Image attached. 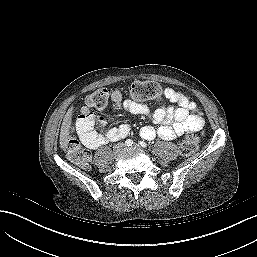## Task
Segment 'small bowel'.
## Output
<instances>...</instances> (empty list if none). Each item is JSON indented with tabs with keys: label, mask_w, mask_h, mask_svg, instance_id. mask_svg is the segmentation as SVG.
Returning <instances> with one entry per match:
<instances>
[{
	"label": "small bowel",
	"mask_w": 257,
	"mask_h": 257,
	"mask_svg": "<svg viewBox=\"0 0 257 257\" xmlns=\"http://www.w3.org/2000/svg\"><path fill=\"white\" fill-rule=\"evenodd\" d=\"M164 98L176 105L175 108L161 105L151 110L146 104L130 99L123 100L120 90L111 93L115 110H125L131 114L142 115L158 125L145 126L140 130V136L152 140L156 136L171 140L180 138L186 133L200 131L203 128V118L197 113L196 104L185 93L166 88ZM76 130L82 143L90 149H96L108 142L117 141L130 133L128 124L118 127H108L104 118L95 116L89 109L84 108L76 123Z\"/></svg>",
	"instance_id": "1"
}]
</instances>
